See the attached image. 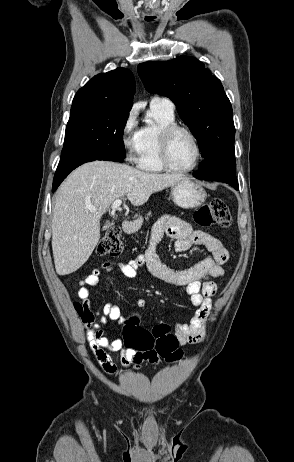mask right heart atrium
Here are the masks:
<instances>
[{"label":"right heart atrium","instance_id":"d8ad5b80","mask_svg":"<svg viewBox=\"0 0 294 462\" xmlns=\"http://www.w3.org/2000/svg\"><path fill=\"white\" fill-rule=\"evenodd\" d=\"M121 143L129 162H136L139 151L138 131L136 130V114L129 111L121 128Z\"/></svg>","mask_w":294,"mask_h":462}]
</instances>
